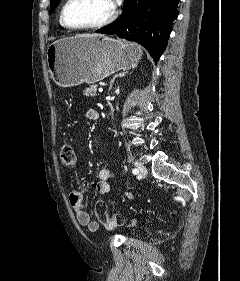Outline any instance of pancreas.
<instances>
[{
  "label": "pancreas",
  "instance_id": "cf45deb5",
  "mask_svg": "<svg viewBox=\"0 0 240 281\" xmlns=\"http://www.w3.org/2000/svg\"><path fill=\"white\" fill-rule=\"evenodd\" d=\"M83 94L85 96H96L97 95V85H90L83 91Z\"/></svg>",
  "mask_w": 240,
  "mask_h": 281
}]
</instances>
